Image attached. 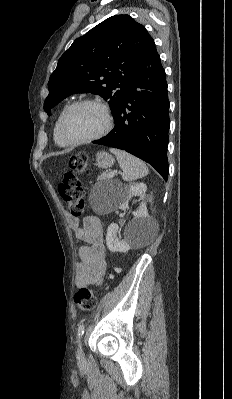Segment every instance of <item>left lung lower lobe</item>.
Instances as JSON below:
<instances>
[{
  "instance_id": "1",
  "label": "left lung lower lobe",
  "mask_w": 232,
  "mask_h": 399,
  "mask_svg": "<svg viewBox=\"0 0 232 399\" xmlns=\"http://www.w3.org/2000/svg\"><path fill=\"white\" fill-rule=\"evenodd\" d=\"M169 105L165 70L152 40L127 84L113 130L93 143L125 150L167 180Z\"/></svg>"
}]
</instances>
